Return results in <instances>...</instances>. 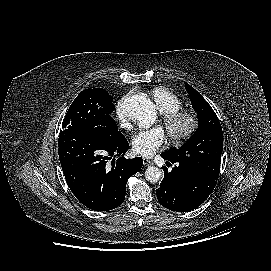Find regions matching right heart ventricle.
Segmentation results:
<instances>
[{
    "label": "right heart ventricle",
    "instance_id": "right-heart-ventricle-1",
    "mask_svg": "<svg viewBox=\"0 0 271 271\" xmlns=\"http://www.w3.org/2000/svg\"><path fill=\"white\" fill-rule=\"evenodd\" d=\"M152 97L161 113L178 110L182 106L180 99L165 88L154 89Z\"/></svg>",
    "mask_w": 271,
    "mask_h": 271
}]
</instances>
